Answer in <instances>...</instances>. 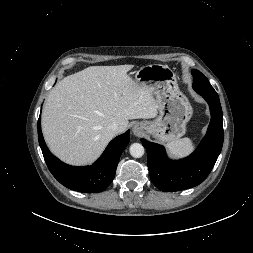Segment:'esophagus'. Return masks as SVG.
I'll use <instances>...</instances> for the list:
<instances>
[{
	"label": "esophagus",
	"mask_w": 253,
	"mask_h": 253,
	"mask_svg": "<svg viewBox=\"0 0 253 253\" xmlns=\"http://www.w3.org/2000/svg\"><path fill=\"white\" fill-rule=\"evenodd\" d=\"M133 133L135 135H140L141 134V129L138 126L133 127Z\"/></svg>",
	"instance_id": "1"
}]
</instances>
